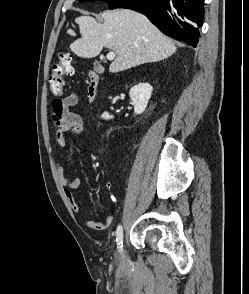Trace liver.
<instances>
[{"mask_svg": "<svg viewBox=\"0 0 249 294\" xmlns=\"http://www.w3.org/2000/svg\"><path fill=\"white\" fill-rule=\"evenodd\" d=\"M86 14L75 20L81 38L71 43L70 49L82 58L96 57L103 47L113 50L117 57L109 67L112 73L166 59L176 51L174 43L140 13L128 9L105 11L103 23ZM67 33L76 35L72 29Z\"/></svg>", "mask_w": 249, "mask_h": 294, "instance_id": "1", "label": "liver"}]
</instances>
